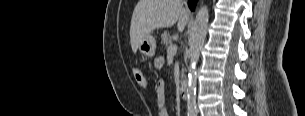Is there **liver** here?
Masks as SVG:
<instances>
[{
    "label": "liver",
    "instance_id": "liver-1",
    "mask_svg": "<svg viewBox=\"0 0 305 116\" xmlns=\"http://www.w3.org/2000/svg\"><path fill=\"white\" fill-rule=\"evenodd\" d=\"M187 21L183 0H139L130 26L132 51L136 53L143 38L155 29L172 27L178 22L177 28L182 32Z\"/></svg>",
    "mask_w": 305,
    "mask_h": 116
}]
</instances>
